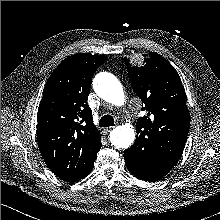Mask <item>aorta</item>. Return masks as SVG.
Wrapping results in <instances>:
<instances>
[{"label": "aorta", "mask_w": 220, "mask_h": 220, "mask_svg": "<svg viewBox=\"0 0 220 220\" xmlns=\"http://www.w3.org/2000/svg\"><path fill=\"white\" fill-rule=\"evenodd\" d=\"M93 87L95 92L105 101L121 106L124 104L125 95L122 84L111 73L101 72L94 78ZM135 139V130L132 125L124 124L117 126L110 133L111 144L117 149L129 148Z\"/></svg>", "instance_id": "762f6f07"}]
</instances>
